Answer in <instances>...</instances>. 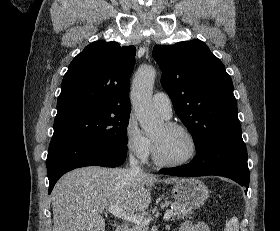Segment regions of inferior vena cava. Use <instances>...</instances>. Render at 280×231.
Masks as SVG:
<instances>
[{
	"mask_svg": "<svg viewBox=\"0 0 280 231\" xmlns=\"http://www.w3.org/2000/svg\"><path fill=\"white\" fill-rule=\"evenodd\" d=\"M129 165L132 175H137V173H140V171H142L140 165H138V159H136L133 153H130L129 155Z\"/></svg>",
	"mask_w": 280,
	"mask_h": 231,
	"instance_id": "inferior-vena-cava-1",
	"label": "inferior vena cava"
}]
</instances>
